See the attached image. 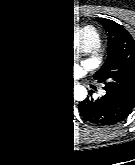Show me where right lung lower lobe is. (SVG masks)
I'll return each mask as SVG.
<instances>
[{"label":"right lung lower lobe","instance_id":"98d812e1","mask_svg":"<svg viewBox=\"0 0 135 165\" xmlns=\"http://www.w3.org/2000/svg\"><path fill=\"white\" fill-rule=\"evenodd\" d=\"M57 82L37 85L29 80H0V123L37 126L49 113Z\"/></svg>","mask_w":135,"mask_h":165}]
</instances>
